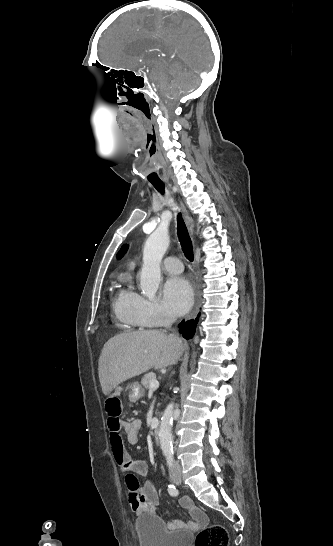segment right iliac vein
<instances>
[{
  "label": "right iliac vein",
  "mask_w": 333,
  "mask_h": 546,
  "mask_svg": "<svg viewBox=\"0 0 333 546\" xmlns=\"http://www.w3.org/2000/svg\"><path fill=\"white\" fill-rule=\"evenodd\" d=\"M177 477H178L177 474H173V475H172V480H175Z\"/></svg>",
  "instance_id": "right-iliac-vein-1"
}]
</instances>
